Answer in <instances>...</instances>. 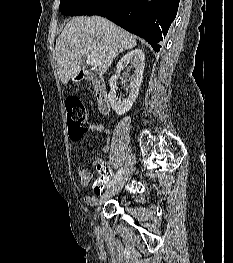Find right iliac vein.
<instances>
[{
  "mask_svg": "<svg viewBox=\"0 0 233 263\" xmlns=\"http://www.w3.org/2000/svg\"><path fill=\"white\" fill-rule=\"evenodd\" d=\"M135 161V156L131 154L125 163V167L121 177L111 188L105 191V193L101 197V201H104L105 199L114 195L122 189V187L125 185V183L127 182V180L133 172Z\"/></svg>",
  "mask_w": 233,
  "mask_h": 263,
  "instance_id": "obj_1",
  "label": "right iliac vein"
}]
</instances>
